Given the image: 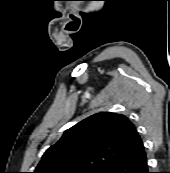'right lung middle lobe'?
I'll return each instance as SVG.
<instances>
[{
  "instance_id": "dd1d6c3e",
  "label": "right lung middle lobe",
  "mask_w": 170,
  "mask_h": 173,
  "mask_svg": "<svg viewBox=\"0 0 170 173\" xmlns=\"http://www.w3.org/2000/svg\"><path fill=\"white\" fill-rule=\"evenodd\" d=\"M104 170L74 171V173H102Z\"/></svg>"
}]
</instances>
